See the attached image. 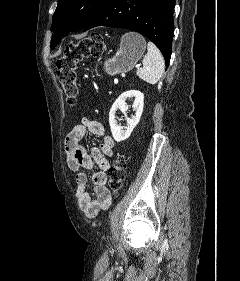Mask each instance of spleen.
I'll return each mask as SVG.
<instances>
[{
  "instance_id": "spleen-1",
  "label": "spleen",
  "mask_w": 240,
  "mask_h": 281,
  "mask_svg": "<svg viewBox=\"0 0 240 281\" xmlns=\"http://www.w3.org/2000/svg\"><path fill=\"white\" fill-rule=\"evenodd\" d=\"M147 50L148 52L143 58V67L137 70V76L154 85L163 75L165 62L161 52L152 42H148Z\"/></svg>"
}]
</instances>
